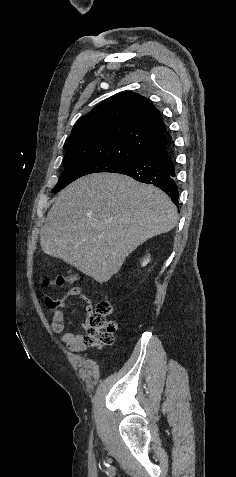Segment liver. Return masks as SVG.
<instances>
[{"mask_svg":"<svg viewBox=\"0 0 236 477\" xmlns=\"http://www.w3.org/2000/svg\"><path fill=\"white\" fill-rule=\"evenodd\" d=\"M177 221L175 205L155 186L116 173L91 174L59 193L40 230V245L104 283L140 244Z\"/></svg>","mask_w":236,"mask_h":477,"instance_id":"6515ba94","label":"liver"}]
</instances>
